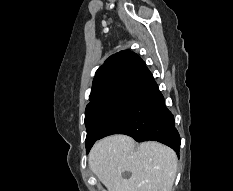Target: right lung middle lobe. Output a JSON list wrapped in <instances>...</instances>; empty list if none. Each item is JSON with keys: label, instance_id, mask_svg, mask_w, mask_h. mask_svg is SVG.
Masks as SVG:
<instances>
[{"label": "right lung middle lobe", "instance_id": "dd1d6c3e", "mask_svg": "<svg viewBox=\"0 0 233 191\" xmlns=\"http://www.w3.org/2000/svg\"><path fill=\"white\" fill-rule=\"evenodd\" d=\"M128 91L117 93L87 105L85 125L87 129L86 150L89 152L99 135L126 105Z\"/></svg>", "mask_w": 233, "mask_h": 191}]
</instances>
